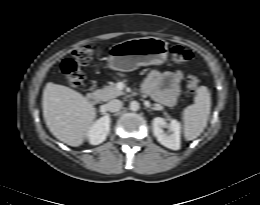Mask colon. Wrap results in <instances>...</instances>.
Returning <instances> with one entry per match:
<instances>
[{
    "label": "colon",
    "mask_w": 260,
    "mask_h": 205,
    "mask_svg": "<svg viewBox=\"0 0 260 205\" xmlns=\"http://www.w3.org/2000/svg\"><path fill=\"white\" fill-rule=\"evenodd\" d=\"M98 53V46L95 44H86L76 48L71 57L65 58L61 63V70L69 85L77 87L84 80V73L80 66L92 62ZM170 55L173 62L182 64L188 62L191 57V51L181 45H174L170 49ZM199 85V80L194 75L187 77V89L194 93Z\"/></svg>",
    "instance_id": "obj_1"
}]
</instances>
